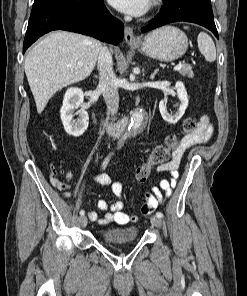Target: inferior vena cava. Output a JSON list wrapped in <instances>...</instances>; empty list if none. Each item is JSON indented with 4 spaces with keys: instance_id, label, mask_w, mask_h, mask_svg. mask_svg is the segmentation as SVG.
I'll return each instance as SVG.
<instances>
[{
    "instance_id": "1",
    "label": "inferior vena cava",
    "mask_w": 247,
    "mask_h": 296,
    "mask_svg": "<svg viewBox=\"0 0 247 296\" xmlns=\"http://www.w3.org/2000/svg\"><path fill=\"white\" fill-rule=\"evenodd\" d=\"M99 88L102 90L108 112L112 119L118 112L119 95L117 79L113 71V59L110 50L102 46L98 55Z\"/></svg>"
}]
</instances>
